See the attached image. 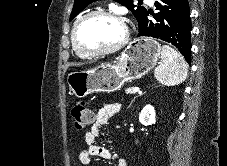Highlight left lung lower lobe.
Segmentation results:
<instances>
[{"label":"left lung lower lobe","instance_id":"obj_1","mask_svg":"<svg viewBox=\"0 0 227 166\" xmlns=\"http://www.w3.org/2000/svg\"><path fill=\"white\" fill-rule=\"evenodd\" d=\"M155 15L149 13L139 25L140 36H151L172 43L191 63V20L188 0H158L155 2ZM154 15L156 21H149L148 15Z\"/></svg>","mask_w":227,"mask_h":166}]
</instances>
